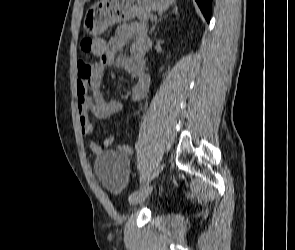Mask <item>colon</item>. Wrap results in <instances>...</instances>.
<instances>
[{
    "label": "colon",
    "instance_id": "colon-1",
    "mask_svg": "<svg viewBox=\"0 0 295 250\" xmlns=\"http://www.w3.org/2000/svg\"><path fill=\"white\" fill-rule=\"evenodd\" d=\"M102 39L94 37H86L81 42V49L85 53H94L101 47Z\"/></svg>",
    "mask_w": 295,
    "mask_h": 250
}]
</instances>
